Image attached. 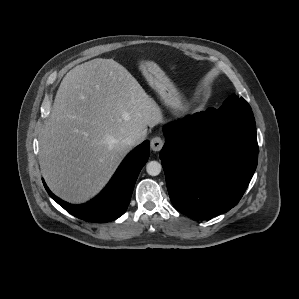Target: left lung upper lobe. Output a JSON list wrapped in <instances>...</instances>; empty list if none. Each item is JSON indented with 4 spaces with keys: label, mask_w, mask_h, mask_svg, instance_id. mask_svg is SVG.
Segmentation results:
<instances>
[{
    "label": "left lung upper lobe",
    "mask_w": 299,
    "mask_h": 299,
    "mask_svg": "<svg viewBox=\"0 0 299 299\" xmlns=\"http://www.w3.org/2000/svg\"><path fill=\"white\" fill-rule=\"evenodd\" d=\"M210 112L213 115L221 117L253 115V112L249 104L242 97L239 98L236 95H233L232 97L226 99L220 108H211Z\"/></svg>",
    "instance_id": "obj_1"
}]
</instances>
